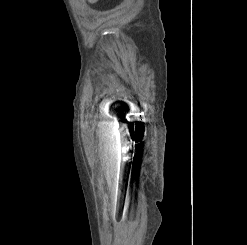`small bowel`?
Instances as JSON below:
<instances>
[{
    "instance_id": "c3829d8e",
    "label": "small bowel",
    "mask_w": 247,
    "mask_h": 245,
    "mask_svg": "<svg viewBox=\"0 0 247 245\" xmlns=\"http://www.w3.org/2000/svg\"><path fill=\"white\" fill-rule=\"evenodd\" d=\"M89 3H96V2H98V1H100V0H87Z\"/></svg>"
}]
</instances>
